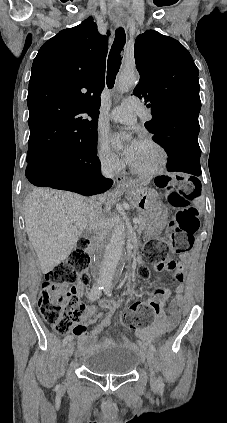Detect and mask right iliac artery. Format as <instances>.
Here are the masks:
<instances>
[{
    "instance_id": "obj_1",
    "label": "right iliac artery",
    "mask_w": 227,
    "mask_h": 423,
    "mask_svg": "<svg viewBox=\"0 0 227 423\" xmlns=\"http://www.w3.org/2000/svg\"><path fill=\"white\" fill-rule=\"evenodd\" d=\"M103 289V284H98V285H94L89 293V299L91 301H94L96 299H98L101 295V291ZM74 335H68L67 337L64 338L62 344L63 346L67 345V343L71 340H73Z\"/></svg>"
}]
</instances>
